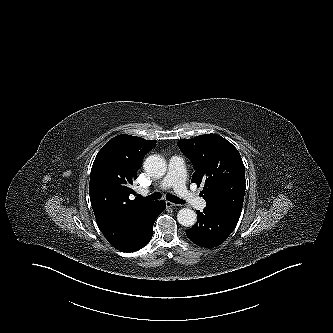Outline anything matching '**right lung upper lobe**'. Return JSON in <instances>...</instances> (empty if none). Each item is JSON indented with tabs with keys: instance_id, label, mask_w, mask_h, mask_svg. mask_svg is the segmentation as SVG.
<instances>
[{
	"instance_id": "cb5924a9",
	"label": "right lung upper lobe",
	"mask_w": 333,
	"mask_h": 333,
	"mask_svg": "<svg viewBox=\"0 0 333 333\" xmlns=\"http://www.w3.org/2000/svg\"><path fill=\"white\" fill-rule=\"evenodd\" d=\"M156 141L127 134L108 141L98 152L90 175L89 195L100 231L116 249L126 244L138 225L147 219L155 201L129 199L146 153Z\"/></svg>"
}]
</instances>
